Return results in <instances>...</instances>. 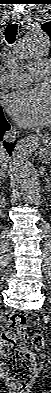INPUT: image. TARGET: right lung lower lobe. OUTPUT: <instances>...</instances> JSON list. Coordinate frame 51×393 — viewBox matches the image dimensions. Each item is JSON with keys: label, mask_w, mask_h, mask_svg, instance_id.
I'll return each instance as SVG.
<instances>
[{"label": "right lung lower lobe", "mask_w": 51, "mask_h": 393, "mask_svg": "<svg viewBox=\"0 0 51 393\" xmlns=\"http://www.w3.org/2000/svg\"><path fill=\"white\" fill-rule=\"evenodd\" d=\"M10 130V125L4 118L3 111L0 113V141L3 140V134L5 131ZM4 147L8 151L9 155H12V151L14 149L15 143L5 142L3 143ZM2 147V143H0V148Z\"/></svg>", "instance_id": "right-lung-lower-lobe-1"}]
</instances>
